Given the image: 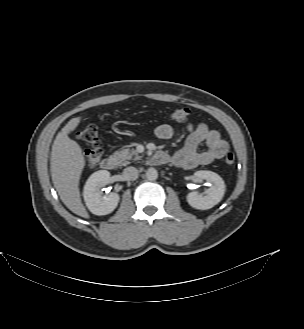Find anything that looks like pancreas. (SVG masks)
Instances as JSON below:
<instances>
[{"label": "pancreas", "mask_w": 304, "mask_h": 329, "mask_svg": "<svg viewBox=\"0 0 304 329\" xmlns=\"http://www.w3.org/2000/svg\"><path fill=\"white\" fill-rule=\"evenodd\" d=\"M114 157L117 159L121 166H126L130 163V160L137 161L141 158L135 149H123L117 150L114 153Z\"/></svg>", "instance_id": "cf45deb5"}]
</instances>
